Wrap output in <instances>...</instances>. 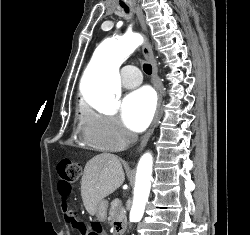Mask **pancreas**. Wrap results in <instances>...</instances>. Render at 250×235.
<instances>
[{"label": "pancreas", "instance_id": "obj_1", "mask_svg": "<svg viewBox=\"0 0 250 235\" xmlns=\"http://www.w3.org/2000/svg\"><path fill=\"white\" fill-rule=\"evenodd\" d=\"M126 219V211L122 207L120 200H114L109 208V218L108 220L113 222H123Z\"/></svg>", "mask_w": 250, "mask_h": 235}]
</instances>
